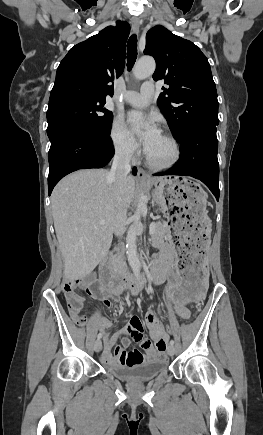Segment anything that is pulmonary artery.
Instances as JSON below:
<instances>
[{
    "instance_id": "obj_1",
    "label": "pulmonary artery",
    "mask_w": 263,
    "mask_h": 435,
    "mask_svg": "<svg viewBox=\"0 0 263 435\" xmlns=\"http://www.w3.org/2000/svg\"><path fill=\"white\" fill-rule=\"evenodd\" d=\"M153 93L154 85L150 82H146L141 86L139 92H127L124 96V101L134 107L144 108L149 105Z\"/></svg>"
}]
</instances>
